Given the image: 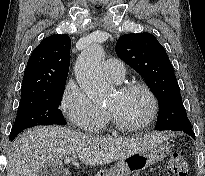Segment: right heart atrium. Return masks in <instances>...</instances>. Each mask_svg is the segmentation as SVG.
<instances>
[{"instance_id":"d8ad5b80","label":"right heart atrium","mask_w":205,"mask_h":176,"mask_svg":"<svg viewBox=\"0 0 205 176\" xmlns=\"http://www.w3.org/2000/svg\"><path fill=\"white\" fill-rule=\"evenodd\" d=\"M60 107L64 116L82 131L93 130L107 118V113L93 103L75 82L66 85Z\"/></svg>"}]
</instances>
